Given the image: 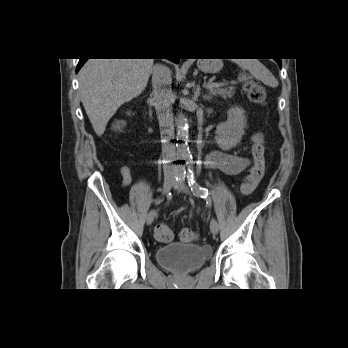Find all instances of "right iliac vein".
Returning a JSON list of instances; mask_svg holds the SVG:
<instances>
[{"mask_svg": "<svg viewBox=\"0 0 348 348\" xmlns=\"http://www.w3.org/2000/svg\"><path fill=\"white\" fill-rule=\"evenodd\" d=\"M174 181H175L174 177H172V176L165 177L164 183H163V193L164 194H167L170 191ZM154 216H155V212L154 211H150L148 213V215L146 217L147 225H151L152 224V222L154 221Z\"/></svg>", "mask_w": 348, "mask_h": 348, "instance_id": "obj_1", "label": "right iliac vein"}]
</instances>
